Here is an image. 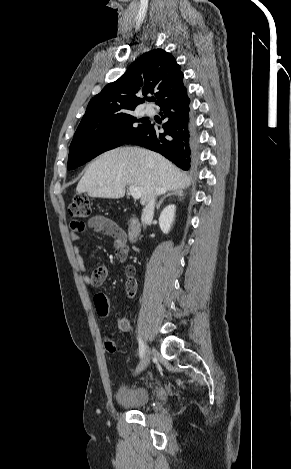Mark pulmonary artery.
<instances>
[{"instance_id":"obj_1","label":"pulmonary artery","mask_w":291,"mask_h":469,"mask_svg":"<svg viewBox=\"0 0 291 469\" xmlns=\"http://www.w3.org/2000/svg\"><path fill=\"white\" fill-rule=\"evenodd\" d=\"M147 114H151L152 113V110L147 108L146 111H145Z\"/></svg>"}]
</instances>
